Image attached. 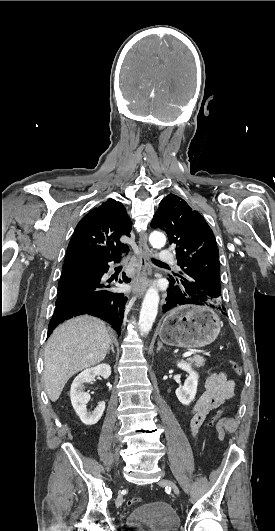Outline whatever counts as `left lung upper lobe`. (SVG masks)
I'll return each instance as SVG.
<instances>
[{"label":"left lung upper lobe","instance_id":"5c2ea615","mask_svg":"<svg viewBox=\"0 0 275 531\" xmlns=\"http://www.w3.org/2000/svg\"><path fill=\"white\" fill-rule=\"evenodd\" d=\"M151 227L167 233L182 269L169 275L168 295L180 304L220 307L219 251L214 234L200 213L182 198L169 194L160 202Z\"/></svg>","mask_w":275,"mask_h":531}]
</instances>
